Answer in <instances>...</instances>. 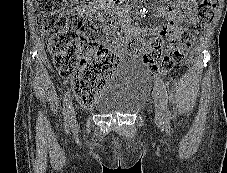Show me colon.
Wrapping results in <instances>:
<instances>
[{
  "instance_id": "obj_1",
  "label": "colon",
  "mask_w": 227,
  "mask_h": 173,
  "mask_svg": "<svg viewBox=\"0 0 227 173\" xmlns=\"http://www.w3.org/2000/svg\"><path fill=\"white\" fill-rule=\"evenodd\" d=\"M73 1L35 0L37 22L59 74L71 80L77 99L90 105L116 62L105 41L114 37L119 22L109 14L96 17L85 10L67 9ZM215 8L216 0H200L194 26L187 28L177 43L165 51L158 38L148 44L142 39H132L129 50L150 70L168 73L195 44V32L211 23Z\"/></svg>"
}]
</instances>
